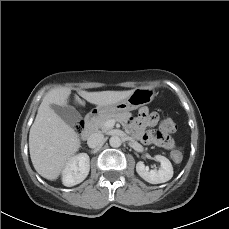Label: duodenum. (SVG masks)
<instances>
[{
	"label": "duodenum",
	"mask_w": 229,
	"mask_h": 229,
	"mask_svg": "<svg viewBox=\"0 0 229 229\" xmlns=\"http://www.w3.org/2000/svg\"><path fill=\"white\" fill-rule=\"evenodd\" d=\"M99 115L97 113H89L84 119V129L81 134L82 140H87L96 130L95 123L98 120Z\"/></svg>",
	"instance_id": "1"
}]
</instances>
